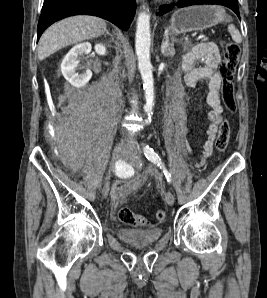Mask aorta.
<instances>
[{
    "mask_svg": "<svg viewBox=\"0 0 267 298\" xmlns=\"http://www.w3.org/2000/svg\"><path fill=\"white\" fill-rule=\"evenodd\" d=\"M150 44V15L147 12H141L137 19L135 50L138 58V68L141 73L145 91L146 103L144 105V110L148 116V119L145 120L146 124L151 121L154 106V82L152 65L150 62Z\"/></svg>",
    "mask_w": 267,
    "mask_h": 298,
    "instance_id": "obj_1",
    "label": "aorta"
}]
</instances>
